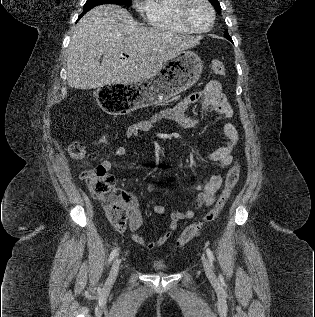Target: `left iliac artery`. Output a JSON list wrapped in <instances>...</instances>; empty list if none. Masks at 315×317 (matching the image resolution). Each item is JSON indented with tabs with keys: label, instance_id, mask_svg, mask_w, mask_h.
Here are the masks:
<instances>
[{
	"label": "left iliac artery",
	"instance_id": "1",
	"mask_svg": "<svg viewBox=\"0 0 315 317\" xmlns=\"http://www.w3.org/2000/svg\"><path fill=\"white\" fill-rule=\"evenodd\" d=\"M206 253H207L209 261L211 262V265H212V262L215 260L214 255L209 248H206Z\"/></svg>",
	"mask_w": 315,
	"mask_h": 317
}]
</instances>
